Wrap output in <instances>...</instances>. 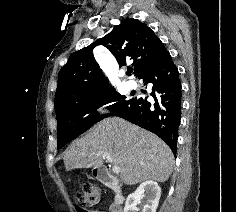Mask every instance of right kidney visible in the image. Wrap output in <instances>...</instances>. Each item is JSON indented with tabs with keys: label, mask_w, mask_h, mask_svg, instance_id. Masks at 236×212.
I'll list each match as a JSON object with an SVG mask.
<instances>
[{
	"label": "right kidney",
	"mask_w": 236,
	"mask_h": 212,
	"mask_svg": "<svg viewBox=\"0 0 236 212\" xmlns=\"http://www.w3.org/2000/svg\"><path fill=\"white\" fill-rule=\"evenodd\" d=\"M160 196V186L154 181H145L137 187L134 193L127 197L124 212H135L137 203L144 197L147 200L142 212H156Z\"/></svg>",
	"instance_id": "obj_1"
}]
</instances>
